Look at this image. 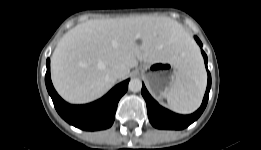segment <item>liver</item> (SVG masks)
<instances>
[{"mask_svg": "<svg viewBox=\"0 0 261 150\" xmlns=\"http://www.w3.org/2000/svg\"><path fill=\"white\" fill-rule=\"evenodd\" d=\"M195 48L183 27L168 17L89 20L69 30L58 43L51 58L52 81L66 101L87 103L115 85L114 65L123 64L130 71L138 61L170 62L182 70Z\"/></svg>", "mask_w": 261, "mask_h": 150, "instance_id": "liver-1", "label": "liver"}]
</instances>
